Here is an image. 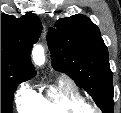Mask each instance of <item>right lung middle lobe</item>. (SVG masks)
<instances>
[{
	"instance_id": "right-lung-middle-lobe-1",
	"label": "right lung middle lobe",
	"mask_w": 121,
	"mask_h": 113,
	"mask_svg": "<svg viewBox=\"0 0 121 113\" xmlns=\"http://www.w3.org/2000/svg\"><path fill=\"white\" fill-rule=\"evenodd\" d=\"M25 71L1 61V113H12V99L18 83L30 79Z\"/></svg>"
}]
</instances>
